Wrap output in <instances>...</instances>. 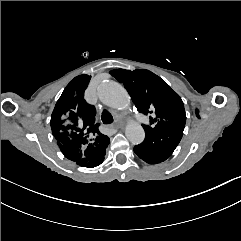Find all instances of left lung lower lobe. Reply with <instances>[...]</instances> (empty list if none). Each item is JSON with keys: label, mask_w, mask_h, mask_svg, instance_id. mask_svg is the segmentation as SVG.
I'll list each match as a JSON object with an SVG mask.
<instances>
[{"label": "left lung lower lobe", "mask_w": 241, "mask_h": 241, "mask_svg": "<svg viewBox=\"0 0 241 241\" xmlns=\"http://www.w3.org/2000/svg\"><path fill=\"white\" fill-rule=\"evenodd\" d=\"M183 130H161L146 135L145 140L134 147V152L147 163H161L171 156L182 138Z\"/></svg>", "instance_id": "0a47b994"}]
</instances>
